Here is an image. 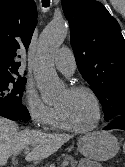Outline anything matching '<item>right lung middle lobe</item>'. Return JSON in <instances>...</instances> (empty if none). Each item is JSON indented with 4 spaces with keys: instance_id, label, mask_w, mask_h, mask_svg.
I'll list each match as a JSON object with an SVG mask.
<instances>
[{
    "instance_id": "right-lung-middle-lobe-1",
    "label": "right lung middle lobe",
    "mask_w": 125,
    "mask_h": 167,
    "mask_svg": "<svg viewBox=\"0 0 125 167\" xmlns=\"http://www.w3.org/2000/svg\"><path fill=\"white\" fill-rule=\"evenodd\" d=\"M25 83V78L16 79L13 76H0V101L21 104Z\"/></svg>"
}]
</instances>
